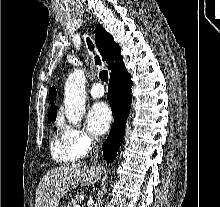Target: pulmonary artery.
Segmentation results:
<instances>
[{
	"instance_id": "e3ab8cb5",
	"label": "pulmonary artery",
	"mask_w": 220,
	"mask_h": 207,
	"mask_svg": "<svg viewBox=\"0 0 220 207\" xmlns=\"http://www.w3.org/2000/svg\"><path fill=\"white\" fill-rule=\"evenodd\" d=\"M105 93L104 87L100 83H94L90 90V95L93 98H101Z\"/></svg>"
}]
</instances>
